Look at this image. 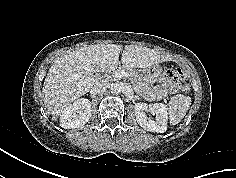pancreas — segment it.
Wrapping results in <instances>:
<instances>
[{"instance_id":"obj_1","label":"pancreas","mask_w":236,"mask_h":178,"mask_svg":"<svg viewBox=\"0 0 236 178\" xmlns=\"http://www.w3.org/2000/svg\"><path fill=\"white\" fill-rule=\"evenodd\" d=\"M125 71L129 73V79L134 85L135 92L147 100L160 99L163 93L158 89H154L152 86L143 82L139 73L134 69H119L118 71Z\"/></svg>"}]
</instances>
